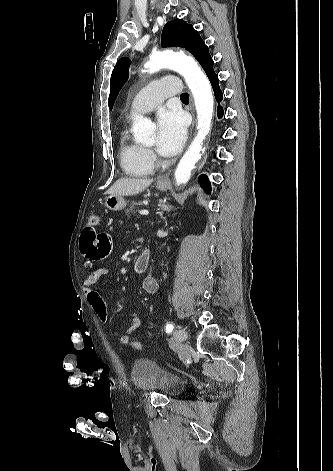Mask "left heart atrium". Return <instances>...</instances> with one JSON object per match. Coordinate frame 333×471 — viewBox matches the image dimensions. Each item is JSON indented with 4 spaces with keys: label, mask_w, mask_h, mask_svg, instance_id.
<instances>
[{
    "label": "left heart atrium",
    "mask_w": 333,
    "mask_h": 471,
    "mask_svg": "<svg viewBox=\"0 0 333 471\" xmlns=\"http://www.w3.org/2000/svg\"><path fill=\"white\" fill-rule=\"evenodd\" d=\"M157 151L163 156H174L182 148L187 134V123L179 111L162 110L157 117Z\"/></svg>",
    "instance_id": "left-heart-atrium-1"
}]
</instances>
